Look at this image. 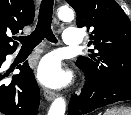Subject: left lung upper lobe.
<instances>
[{"instance_id":"obj_1","label":"left lung upper lobe","mask_w":131,"mask_h":115,"mask_svg":"<svg viewBox=\"0 0 131 115\" xmlns=\"http://www.w3.org/2000/svg\"><path fill=\"white\" fill-rule=\"evenodd\" d=\"M66 1L77 26L93 30L89 45L97 50L90 58L78 57L77 66L92 80L131 84V22L123 9L114 0Z\"/></svg>"}]
</instances>
